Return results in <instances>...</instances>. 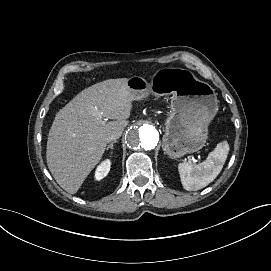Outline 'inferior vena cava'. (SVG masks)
Here are the masks:
<instances>
[{
	"instance_id": "obj_1",
	"label": "inferior vena cava",
	"mask_w": 271,
	"mask_h": 271,
	"mask_svg": "<svg viewBox=\"0 0 271 271\" xmlns=\"http://www.w3.org/2000/svg\"><path fill=\"white\" fill-rule=\"evenodd\" d=\"M121 133H112L108 136V141L117 140L120 137Z\"/></svg>"
}]
</instances>
